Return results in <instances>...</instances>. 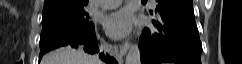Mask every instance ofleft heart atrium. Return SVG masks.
Returning <instances> with one entry per match:
<instances>
[{"mask_svg":"<svg viewBox=\"0 0 242 64\" xmlns=\"http://www.w3.org/2000/svg\"><path fill=\"white\" fill-rule=\"evenodd\" d=\"M133 24L132 13L124 8L111 13L105 20V30L113 38H123L127 36Z\"/></svg>","mask_w":242,"mask_h":64,"instance_id":"1","label":"left heart atrium"}]
</instances>
